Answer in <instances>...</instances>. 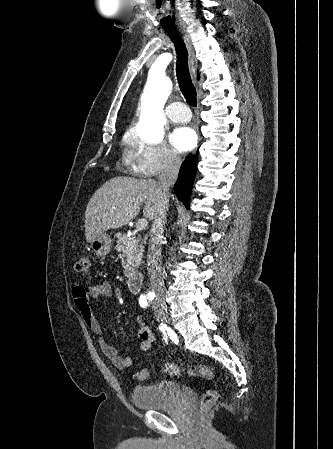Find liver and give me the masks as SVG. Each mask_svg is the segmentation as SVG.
<instances>
[{
    "mask_svg": "<svg viewBox=\"0 0 333 449\" xmlns=\"http://www.w3.org/2000/svg\"><path fill=\"white\" fill-rule=\"evenodd\" d=\"M161 188L155 180L114 177L106 181L91 197L85 211V235L91 242L102 232L128 224L140 212L154 220L161 201Z\"/></svg>",
    "mask_w": 333,
    "mask_h": 449,
    "instance_id": "6515ba94",
    "label": "liver"
}]
</instances>
